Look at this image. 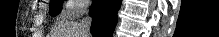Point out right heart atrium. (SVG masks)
I'll list each match as a JSON object with an SVG mask.
<instances>
[{"label": "right heart atrium", "instance_id": "obj_1", "mask_svg": "<svg viewBox=\"0 0 219 37\" xmlns=\"http://www.w3.org/2000/svg\"><path fill=\"white\" fill-rule=\"evenodd\" d=\"M88 2L85 0H69L65 3L62 16L65 18L79 17L87 8Z\"/></svg>", "mask_w": 219, "mask_h": 37}]
</instances>
